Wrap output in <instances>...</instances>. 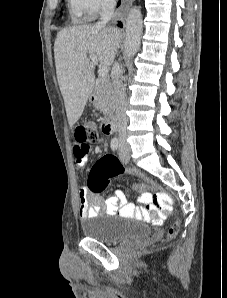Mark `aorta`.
<instances>
[{"label":"aorta","mask_w":227,"mask_h":298,"mask_svg":"<svg viewBox=\"0 0 227 298\" xmlns=\"http://www.w3.org/2000/svg\"><path fill=\"white\" fill-rule=\"evenodd\" d=\"M143 32V20L139 7H133L129 11L126 20L125 55L134 56L139 50Z\"/></svg>","instance_id":"aorta-1"}]
</instances>
